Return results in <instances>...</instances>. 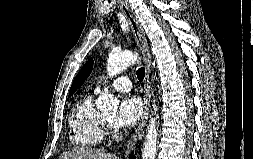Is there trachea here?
<instances>
[{"label":"trachea","instance_id":"3493384b","mask_svg":"<svg viewBox=\"0 0 253 159\" xmlns=\"http://www.w3.org/2000/svg\"><path fill=\"white\" fill-rule=\"evenodd\" d=\"M137 74V78L140 82L143 81L144 77H145V69L143 67L139 68L136 72Z\"/></svg>","mask_w":253,"mask_h":159}]
</instances>
